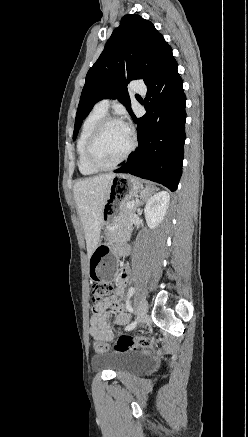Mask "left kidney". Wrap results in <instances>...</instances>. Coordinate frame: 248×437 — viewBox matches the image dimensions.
Here are the masks:
<instances>
[{
    "mask_svg": "<svg viewBox=\"0 0 248 437\" xmlns=\"http://www.w3.org/2000/svg\"><path fill=\"white\" fill-rule=\"evenodd\" d=\"M170 195L167 191H160L148 199L145 208V218L150 228H155L162 222L169 207Z\"/></svg>",
    "mask_w": 248,
    "mask_h": 437,
    "instance_id": "1",
    "label": "left kidney"
}]
</instances>
